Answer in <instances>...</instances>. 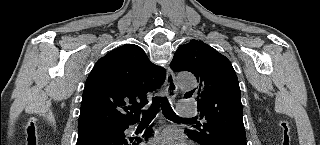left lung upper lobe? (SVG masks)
<instances>
[{"instance_id":"obj_1","label":"left lung upper lobe","mask_w":320,"mask_h":145,"mask_svg":"<svg viewBox=\"0 0 320 145\" xmlns=\"http://www.w3.org/2000/svg\"><path fill=\"white\" fill-rule=\"evenodd\" d=\"M170 66L193 73L198 81L185 97L197 100L205 122L187 129L190 138L201 145H214L228 134L246 138L239 82L228 58L202 41L190 40L178 48Z\"/></svg>"}]
</instances>
